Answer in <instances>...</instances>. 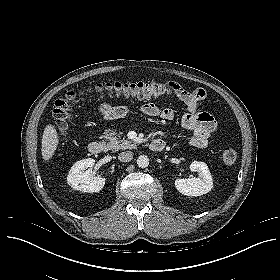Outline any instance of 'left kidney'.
<instances>
[{
	"label": "left kidney",
	"mask_w": 280,
	"mask_h": 280,
	"mask_svg": "<svg viewBox=\"0 0 280 280\" xmlns=\"http://www.w3.org/2000/svg\"><path fill=\"white\" fill-rule=\"evenodd\" d=\"M198 177L175 180L176 189L186 196H201L213 188V179L206 163L194 161L189 166Z\"/></svg>",
	"instance_id": "obj_1"
}]
</instances>
